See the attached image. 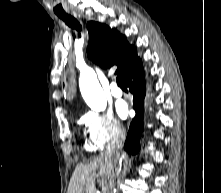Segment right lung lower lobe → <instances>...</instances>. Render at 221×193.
Masks as SVG:
<instances>
[{
	"label": "right lung lower lobe",
	"mask_w": 221,
	"mask_h": 193,
	"mask_svg": "<svg viewBox=\"0 0 221 193\" xmlns=\"http://www.w3.org/2000/svg\"><path fill=\"white\" fill-rule=\"evenodd\" d=\"M130 92L133 94V108L136 116L132 120L125 141L124 149L130 154H136L140 149V138L143 133V103L145 96V83L142 63L140 64L124 79Z\"/></svg>",
	"instance_id": "98d812e1"
}]
</instances>
